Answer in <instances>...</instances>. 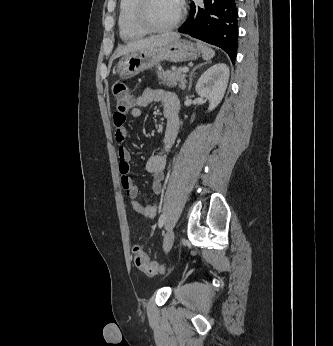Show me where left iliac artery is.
<instances>
[{
	"mask_svg": "<svg viewBox=\"0 0 333 346\" xmlns=\"http://www.w3.org/2000/svg\"><path fill=\"white\" fill-rule=\"evenodd\" d=\"M164 222H165V214L163 213V214H161L159 221H158L159 227H162Z\"/></svg>",
	"mask_w": 333,
	"mask_h": 346,
	"instance_id": "1",
	"label": "left iliac artery"
}]
</instances>
